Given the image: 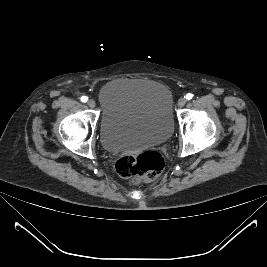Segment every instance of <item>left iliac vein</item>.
I'll return each mask as SVG.
<instances>
[{
    "label": "left iliac vein",
    "instance_id": "4c4485c4",
    "mask_svg": "<svg viewBox=\"0 0 267 267\" xmlns=\"http://www.w3.org/2000/svg\"><path fill=\"white\" fill-rule=\"evenodd\" d=\"M185 104H186V98H185V97H181V98L178 100V106H179V107H183Z\"/></svg>",
    "mask_w": 267,
    "mask_h": 267
}]
</instances>
